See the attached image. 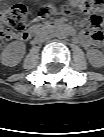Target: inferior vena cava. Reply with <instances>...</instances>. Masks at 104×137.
<instances>
[{
	"label": "inferior vena cava",
	"mask_w": 104,
	"mask_h": 137,
	"mask_svg": "<svg viewBox=\"0 0 104 137\" xmlns=\"http://www.w3.org/2000/svg\"><path fill=\"white\" fill-rule=\"evenodd\" d=\"M36 40L39 43L45 44V43H47L48 38L45 35L39 34V35H37Z\"/></svg>",
	"instance_id": "1"
}]
</instances>
